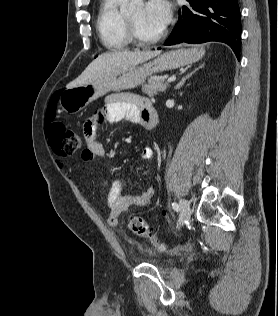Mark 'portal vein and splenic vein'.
<instances>
[{"label":"portal vein and splenic vein","mask_w":278,"mask_h":316,"mask_svg":"<svg viewBox=\"0 0 278 316\" xmlns=\"http://www.w3.org/2000/svg\"><path fill=\"white\" fill-rule=\"evenodd\" d=\"M175 80H176V77H175V76L170 77V78L168 79V83L174 82Z\"/></svg>","instance_id":"portal-vein-and-splenic-vein-1"}]
</instances>
